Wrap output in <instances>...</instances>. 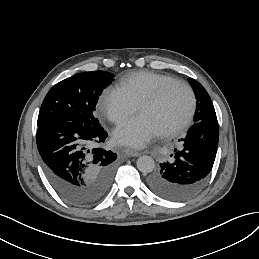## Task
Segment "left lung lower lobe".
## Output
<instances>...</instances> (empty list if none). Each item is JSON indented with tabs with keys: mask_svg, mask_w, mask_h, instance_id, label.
<instances>
[{
	"mask_svg": "<svg viewBox=\"0 0 259 259\" xmlns=\"http://www.w3.org/2000/svg\"><path fill=\"white\" fill-rule=\"evenodd\" d=\"M218 140L217 119L195 123L186 137L180 139L182 146L174 150L175 160L160 164V169L148 178L149 189L172 201H182L196 194L212 169Z\"/></svg>",
	"mask_w": 259,
	"mask_h": 259,
	"instance_id": "0a47b994",
	"label": "left lung lower lobe"
}]
</instances>
